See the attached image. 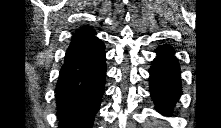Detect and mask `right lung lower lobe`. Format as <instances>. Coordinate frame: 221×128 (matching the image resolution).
I'll use <instances>...</instances> for the list:
<instances>
[{"instance_id": "right-lung-lower-lobe-1", "label": "right lung lower lobe", "mask_w": 221, "mask_h": 128, "mask_svg": "<svg viewBox=\"0 0 221 128\" xmlns=\"http://www.w3.org/2000/svg\"><path fill=\"white\" fill-rule=\"evenodd\" d=\"M105 77V47L100 39L70 44L55 90L59 128L92 127Z\"/></svg>"}]
</instances>
